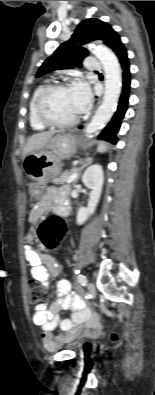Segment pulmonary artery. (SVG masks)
I'll return each mask as SVG.
<instances>
[{"instance_id": "obj_1", "label": "pulmonary artery", "mask_w": 155, "mask_h": 395, "mask_svg": "<svg viewBox=\"0 0 155 395\" xmlns=\"http://www.w3.org/2000/svg\"><path fill=\"white\" fill-rule=\"evenodd\" d=\"M85 66L88 70L95 71L101 68V63L95 57H88L85 60Z\"/></svg>"}]
</instances>
